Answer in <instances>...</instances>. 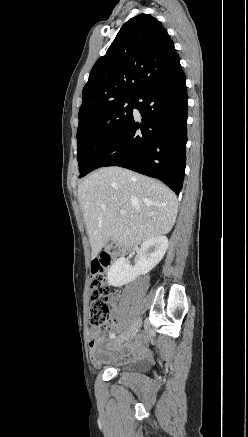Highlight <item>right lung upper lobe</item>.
Instances as JSON below:
<instances>
[{
  "label": "right lung upper lobe",
  "mask_w": 248,
  "mask_h": 437,
  "mask_svg": "<svg viewBox=\"0 0 248 437\" xmlns=\"http://www.w3.org/2000/svg\"><path fill=\"white\" fill-rule=\"evenodd\" d=\"M176 55L173 41L156 18L140 14L129 19L90 72L79 123L119 100L135 97Z\"/></svg>",
  "instance_id": "right-lung-upper-lobe-1"
}]
</instances>
